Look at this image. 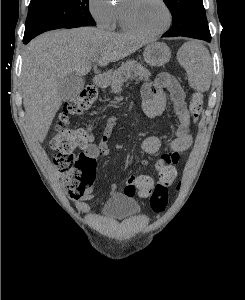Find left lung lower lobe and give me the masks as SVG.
Here are the masks:
<instances>
[{
  "label": "left lung lower lobe",
  "mask_w": 245,
  "mask_h": 300,
  "mask_svg": "<svg viewBox=\"0 0 245 300\" xmlns=\"http://www.w3.org/2000/svg\"><path fill=\"white\" fill-rule=\"evenodd\" d=\"M164 37H173V36H168L163 34ZM182 36H187V37H192V38H196V39H202L205 41L210 42L211 41V35L209 33H199V34H186V35H182Z\"/></svg>",
  "instance_id": "obj_1"
}]
</instances>
